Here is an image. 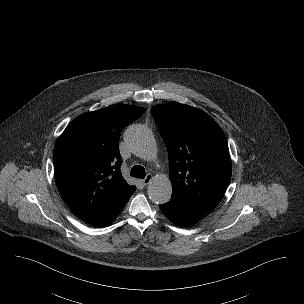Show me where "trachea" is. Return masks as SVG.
Here are the masks:
<instances>
[{"mask_svg":"<svg viewBox=\"0 0 304 304\" xmlns=\"http://www.w3.org/2000/svg\"><path fill=\"white\" fill-rule=\"evenodd\" d=\"M130 174L136 178H145V169L141 165H135L132 167Z\"/></svg>","mask_w":304,"mask_h":304,"instance_id":"trachea-1","label":"trachea"}]
</instances>
